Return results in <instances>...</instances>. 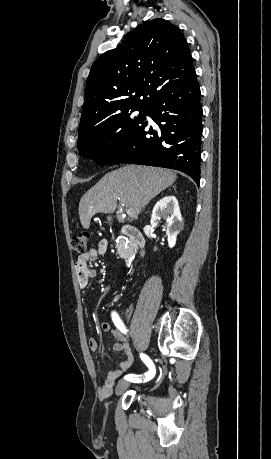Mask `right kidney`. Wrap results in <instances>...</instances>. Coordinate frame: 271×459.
<instances>
[{"label":"right kidney","instance_id":"obj_1","mask_svg":"<svg viewBox=\"0 0 271 459\" xmlns=\"http://www.w3.org/2000/svg\"><path fill=\"white\" fill-rule=\"evenodd\" d=\"M161 220H166L165 231L168 235L169 247L176 243V237L184 229L183 218H181L178 200L175 196H165L155 204L150 220L151 226H159Z\"/></svg>","mask_w":271,"mask_h":459}]
</instances>
